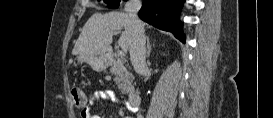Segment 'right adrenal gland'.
<instances>
[{"label": "right adrenal gland", "instance_id": "right-adrenal-gland-1", "mask_svg": "<svg viewBox=\"0 0 273 118\" xmlns=\"http://www.w3.org/2000/svg\"><path fill=\"white\" fill-rule=\"evenodd\" d=\"M150 52H151V45H150V38L149 36H147V57L150 56Z\"/></svg>", "mask_w": 273, "mask_h": 118}]
</instances>
